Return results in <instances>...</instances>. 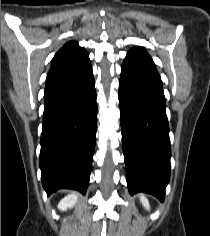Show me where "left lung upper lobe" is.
Instances as JSON below:
<instances>
[{
    "label": "left lung upper lobe",
    "mask_w": 210,
    "mask_h": 236,
    "mask_svg": "<svg viewBox=\"0 0 210 236\" xmlns=\"http://www.w3.org/2000/svg\"><path fill=\"white\" fill-rule=\"evenodd\" d=\"M125 61H130L134 63L148 64L155 66L153 60L149 56V54L142 47L132 48L126 58Z\"/></svg>",
    "instance_id": "5c2ea615"
}]
</instances>
